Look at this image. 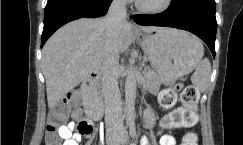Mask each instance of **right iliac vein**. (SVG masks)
Instances as JSON below:
<instances>
[{
	"label": "right iliac vein",
	"mask_w": 243,
	"mask_h": 145,
	"mask_svg": "<svg viewBox=\"0 0 243 145\" xmlns=\"http://www.w3.org/2000/svg\"><path fill=\"white\" fill-rule=\"evenodd\" d=\"M106 140L108 145H114L116 141L118 140L117 136L115 134H108L106 136Z\"/></svg>",
	"instance_id": "obj_1"
}]
</instances>
